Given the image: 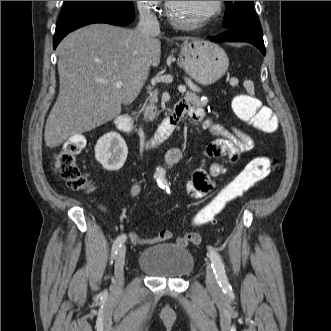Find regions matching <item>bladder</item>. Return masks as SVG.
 <instances>
[{"label": "bladder", "instance_id": "bladder-1", "mask_svg": "<svg viewBox=\"0 0 331 331\" xmlns=\"http://www.w3.org/2000/svg\"><path fill=\"white\" fill-rule=\"evenodd\" d=\"M137 266L153 278L180 279L192 273L194 257L187 247L162 243L145 247Z\"/></svg>", "mask_w": 331, "mask_h": 331}]
</instances>
